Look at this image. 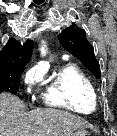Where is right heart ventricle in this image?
Instances as JSON below:
<instances>
[{
  "instance_id": "e07e8e85",
  "label": "right heart ventricle",
  "mask_w": 117,
  "mask_h": 136,
  "mask_svg": "<svg viewBox=\"0 0 117 136\" xmlns=\"http://www.w3.org/2000/svg\"><path fill=\"white\" fill-rule=\"evenodd\" d=\"M47 106L87 115L97 109V96L91 80L74 64L61 67L43 93Z\"/></svg>"
}]
</instances>
